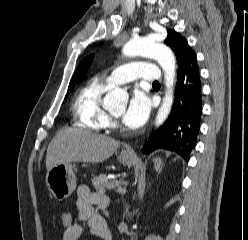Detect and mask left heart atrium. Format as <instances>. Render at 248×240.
<instances>
[{"label": "left heart atrium", "instance_id": "obj_1", "mask_svg": "<svg viewBox=\"0 0 248 240\" xmlns=\"http://www.w3.org/2000/svg\"><path fill=\"white\" fill-rule=\"evenodd\" d=\"M150 108L151 103L148 95L142 89L135 88L122 116L123 123L129 128L141 126L148 118Z\"/></svg>", "mask_w": 248, "mask_h": 240}]
</instances>
